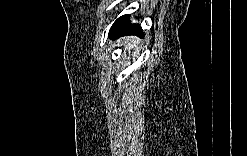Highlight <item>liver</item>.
Masks as SVG:
<instances>
[{"mask_svg": "<svg viewBox=\"0 0 247 156\" xmlns=\"http://www.w3.org/2000/svg\"><path fill=\"white\" fill-rule=\"evenodd\" d=\"M119 43H121L122 45H124L125 48V53H126V49L127 47H129V49H138V45L140 43V39L137 37H131L130 39L128 38H120L118 40Z\"/></svg>", "mask_w": 247, "mask_h": 156, "instance_id": "obj_1", "label": "liver"}]
</instances>
